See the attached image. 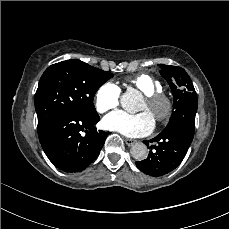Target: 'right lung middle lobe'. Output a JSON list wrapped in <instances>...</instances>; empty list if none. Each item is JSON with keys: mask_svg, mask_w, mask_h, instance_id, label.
Wrapping results in <instances>:
<instances>
[{"mask_svg": "<svg viewBox=\"0 0 229 229\" xmlns=\"http://www.w3.org/2000/svg\"><path fill=\"white\" fill-rule=\"evenodd\" d=\"M112 77L110 72L75 59L48 67L35 94L38 132L63 113H73L85 118L98 117L92 103L94 95Z\"/></svg>", "mask_w": 229, "mask_h": 229, "instance_id": "1", "label": "right lung middle lobe"}]
</instances>
